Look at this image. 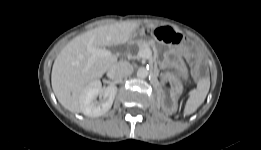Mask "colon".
Returning <instances> with one entry per match:
<instances>
[{"label":"colon","mask_w":261,"mask_h":150,"mask_svg":"<svg viewBox=\"0 0 261 150\" xmlns=\"http://www.w3.org/2000/svg\"><path fill=\"white\" fill-rule=\"evenodd\" d=\"M155 35L159 40L167 43L177 44L181 41V36L169 28H157Z\"/></svg>","instance_id":"obj_1"}]
</instances>
